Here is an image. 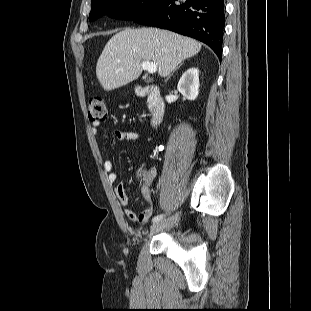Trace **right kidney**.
<instances>
[{
	"label": "right kidney",
	"mask_w": 311,
	"mask_h": 311,
	"mask_svg": "<svg viewBox=\"0 0 311 311\" xmlns=\"http://www.w3.org/2000/svg\"><path fill=\"white\" fill-rule=\"evenodd\" d=\"M177 89L188 100H195L199 90V70L190 68L185 71L178 82Z\"/></svg>",
	"instance_id": "ca27d5eb"
}]
</instances>
